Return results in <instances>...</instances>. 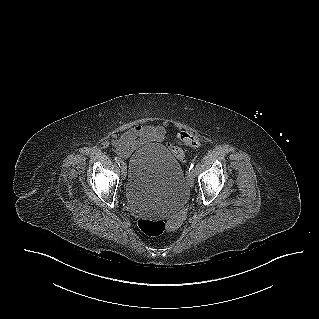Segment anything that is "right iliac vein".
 <instances>
[{
  "label": "right iliac vein",
  "mask_w": 319,
  "mask_h": 319,
  "mask_svg": "<svg viewBox=\"0 0 319 319\" xmlns=\"http://www.w3.org/2000/svg\"><path fill=\"white\" fill-rule=\"evenodd\" d=\"M121 174H122V178L125 179L126 178V165L124 163L121 165Z\"/></svg>",
  "instance_id": "obj_1"
}]
</instances>
